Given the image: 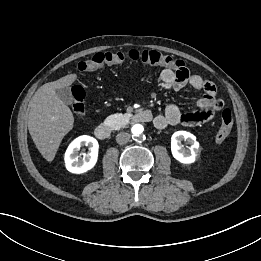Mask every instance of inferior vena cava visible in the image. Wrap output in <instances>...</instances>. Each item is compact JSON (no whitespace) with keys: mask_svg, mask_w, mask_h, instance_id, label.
<instances>
[{"mask_svg":"<svg viewBox=\"0 0 261 261\" xmlns=\"http://www.w3.org/2000/svg\"><path fill=\"white\" fill-rule=\"evenodd\" d=\"M130 134L126 132H120L116 135V141L118 144L123 145L129 142Z\"/></svg>","mask_w":261,"mask_h":261,"instance_id":"1","label":"inferior vena cava"}]
</instances>
